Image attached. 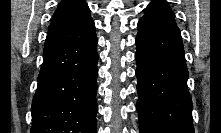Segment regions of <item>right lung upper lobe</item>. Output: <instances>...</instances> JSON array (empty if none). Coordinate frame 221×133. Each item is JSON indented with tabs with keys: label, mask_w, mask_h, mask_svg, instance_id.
I'll return each mask as SVG.
<instances>
[{
	"label": "right lung upper lobe",
	"mask_w": 221,
	"mask_h": 133,
	"mask_svg": "<svg viewBox=\"0 0 221 133\" xmlns=\"http://www.w3.org/2000/svg\"><path fill=\"white\" fill-rule=\"evenodd\" d=\"M95 32L90 10L84 0H63L55 11L45 46L79 44Z\"/></svg>",
	"instance_id": "obj_1"
}]
</instances>
